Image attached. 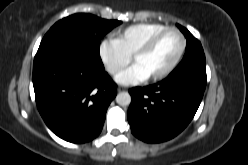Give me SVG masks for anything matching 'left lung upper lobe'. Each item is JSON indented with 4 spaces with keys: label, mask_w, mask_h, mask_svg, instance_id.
Masks as SVG:
<instances>
[{
    "label": "left lung upper lobe",
    "mask_w": 248,
    "mask_h": 165,
    "mask_svg": "<svg viewBox=\"0 0 248 165\" xmlns=\"http://www.w3.org/2000/svg\"><path fill=\"white\" fill-rule=\"evenodd\" d=\"M187 39L186 52L180 64L171 72L170 75L184 71L185 69L197 65L206 64L204 51L198 39H196L186 28L177 24Z\"/></svg>",
    "instance_id": "obj_1"
}]
</instances>
